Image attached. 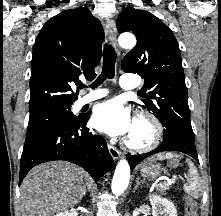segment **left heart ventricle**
<instances>
[{
    "mask_svg": "<svg viewBox=\"0 0 221 216\" xmlns=\"http://www.w3.org/2000/svg\"><path fill=\"white\" fill-rule=\"evenodd\" d=\"M150 130L148 126L144 123L134 122L132 130L130 132V137L134 142H145L149 139Z\"/></svg>",
    "mask_w": 221,
    "mask_h": 216,
    "instance_id": "left-heart-ventricle-1",
    "label": "left heart ventricle"
}]
</instances>
